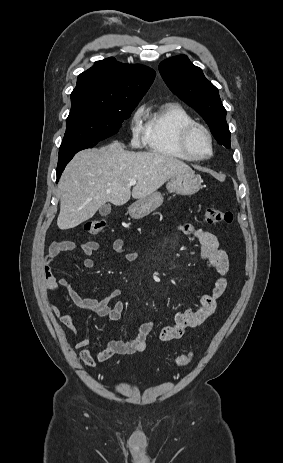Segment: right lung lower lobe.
Returning <instances> with one entry per match:
<instances>
[{
	"instance_id": "98d812e1",
	"label": "right lung lower lobe",
	"mask_w": 283,
	"mask_h": 463,
	"mask_svg": "<svg viewBox=\"0 0 283 463\" xmlns=\"http://www.w3.org/2000/svg\"><path fill=\"white\" fill-rule=\"evenodd\" d=\"M94 145H96V143L84 144V145L76 146V147L69 148V149H66V150H61L59 152V160H58V165H57V170H56V172H57V182H58V179L60 178V175L63 172L65 166L73 158V156L78 151L83 150V149H87V148H91Z\"/></svg>"
}]
</instances>
